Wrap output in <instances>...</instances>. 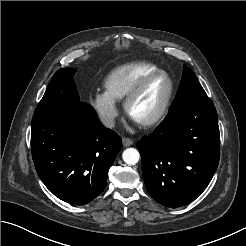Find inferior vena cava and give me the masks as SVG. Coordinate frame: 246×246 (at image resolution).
Segmentation results:
<instances>
[{
    "mask_svg": "<svg viewBox=\"0 0 246 246\" xmlns=\"http://www.w3.org/2000/svg\"><path fill=\"white\" fill-rule=\"evenodd\" d=\"M101 122L104 126L112 128L114 127V118L108 115L101 116Z\"/></svg>",
    "mask_w": 246,
    "mask_h": 246,
    "instance_id": "1",
    "label": "inferior vena cava"
}]
</instances>
